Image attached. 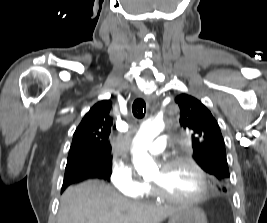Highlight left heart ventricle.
<instances>
[{"label": "left heart ventricle", "mask_w": 267, "mask_h": 223, "mask_svg": "<svg viewBox=\"0 0 267 223\" xmlns=\"http://www.w3.org/2000/svg\"><path fill=\"white\" fill-rule=\"evenodd\" d=\"M174 197L189 199L200 194L202 182L197 172L188 165L174 166L168 170L159 168L150 180Z\"/></svg>", "instance_id": "b2bd125f"}]
</instances>
